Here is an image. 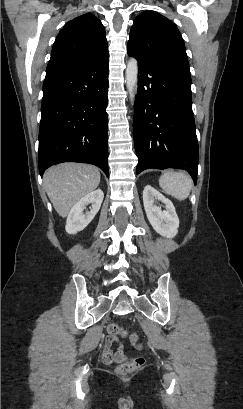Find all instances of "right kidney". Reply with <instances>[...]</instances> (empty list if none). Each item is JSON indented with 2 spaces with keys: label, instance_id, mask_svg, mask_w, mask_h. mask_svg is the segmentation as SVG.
<instances>
[{
  "label": "right kidney",
  "instance_id": "ca27d5eb",
  "mask_svg": "<svg viewBox=\"0 0 243 409\" xmlns=\"http://www.w3.org/2000/svg\"><path fill=\"white\" fill-rule=\"evenodd\" d=\"M103 198V191L97 189L79 200L68 214L65 226L66 232L68 234H76L86 228L99 211ZM88 204H92L91 209L84 213Z\"/></svg>",
  "mask_w": 243,
  "mask_h": 409
}]
</instances>
